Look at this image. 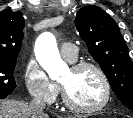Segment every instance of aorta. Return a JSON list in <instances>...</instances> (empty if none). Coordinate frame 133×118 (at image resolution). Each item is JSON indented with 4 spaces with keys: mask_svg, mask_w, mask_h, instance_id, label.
<instances>
[{
    "mask_svg": "<svg viewBox=\"0 0 133 118\" xmlns=\"http://www.w3.org/2000/svg\"><path fill=\"white\" fill-rule=\"evenodd\" d=\"M36 58L51 79H57L67 70V65L60 57L55 37L43 33L37 40Z\"/></svg>",
    "mask_w": 133,
    "mask_h": 118,
    "instance_id": "762f6f07",
    "label": "aorta"
}]
</instances>
